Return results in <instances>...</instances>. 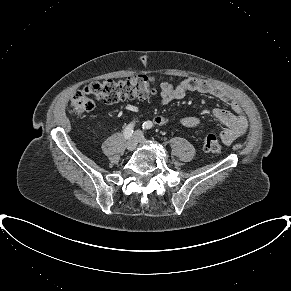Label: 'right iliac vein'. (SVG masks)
Instances as JSON below:
<instances>
[{
  "label": "right iliac vein",
  "mask_w": 291,
  "mask_h": 291,
  "mask_svg": "<svg viewBox=\"0 0 291 291\" xmlns=\"http://www.w3.org/2000/svg\"><path fill=\"white\" fill-rule=\"evenodd\" d=\"M137 143H138V137L135 133L131 138H129V140L126 143L127 150L129 151L134 150L137 146Z\"/></svg>",
  "instance_id": "63e3f726"
}]
</instances>
